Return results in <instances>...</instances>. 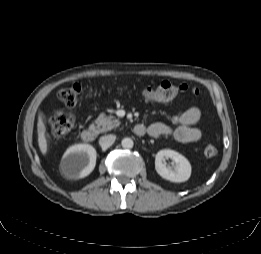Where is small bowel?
I'll use <instances>...</instances> for the list:
<instances>
[{
  "mask_svg": "<svg viewBox=\"0 0 261 254\" xmlns=\"http://www.w3.org/2000/svg\"><path fill=\"white\" fill-rule=\"evenodd\" d=\"M200 118L199 108L191 107L179 115L172 116L171 125L164 123H153L151 125L141 123L138 125L143 129L141 135L147 133L151 137L170 136L182 143H192L202 138L201 130L194 127Z\"/></svg>",
  "mask_w": 261,
  "mask_h": 254,
  "instance_id": "small-bowel-1",
  "label": "small bowel"
}]
</instances>
